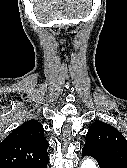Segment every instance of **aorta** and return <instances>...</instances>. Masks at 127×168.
<instances>
[{"instance_id": "obj_1", "label": "aorta", "mask_w": 127, "mask_h": 168, "mask_svg": "<svg viewBox=\"0 0 127 168\" xmlns=\"http://www.w3.org/2000/svg\"><path fill=\"white\" fill-rule=\"evenodd\" d=\"M80 168H97V166L93 159L86 158L82 161Z\"/></svg>"}]
</instances>
